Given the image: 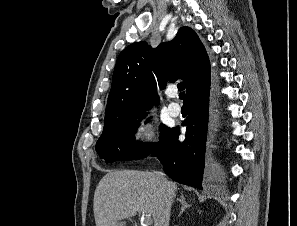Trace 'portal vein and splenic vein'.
<instances>
[{"mask_svg": "<svg viewBox=\"0 0 297 226\" xmlns=\"http://www.w3.org/2000/svg\"><path fill=\"white\" fill-rule=\"evenodd\" d=\"M142 218L144 219L146 224L152 223L151 215L142 213Z\"/></svg>", "mask_w": 297, "mask_h": 226, "instance_id": "18ae733b", "label": "portal vein and splenic vein"}]
</instances>
